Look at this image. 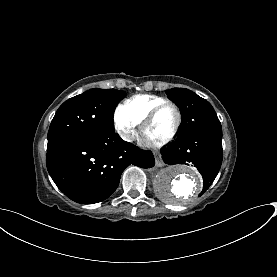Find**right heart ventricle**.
I'll use <instances>...</instances> for the list:
<instances>
[{
  "label": "right heart ventricle",
  "mask_w": 277,
  "mask_h": 277,
  "mask_svg": "<svg viewBox=\"0 0 277 277\" xmlns=\"http://www.w3.org/2000/svg\"><path fill=\"white\" fill-rule=\"evenodd\" d=\"M167 101L154 95H135L121 105L118 113L133 118L137 123H142L155 106Z\"/></svg>",
  "instance_id": "obj_1"
}]
</instances>
